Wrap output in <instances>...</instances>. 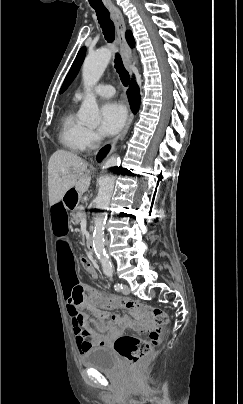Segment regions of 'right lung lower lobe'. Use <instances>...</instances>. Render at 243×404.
<instances>
[{"label": "right lung lower lobe", "instance_id": "98d812e1", "mask_svg": "<svg viewBox=\"0 0 243 404\" xmlns=\"http://www.w3.org/2000/svg\"><path fill=\"white\" fill-rule=\"evenodd\" d=\"M127 95L129 98V102L131 105V109L134 113H136L139 109V105H140V93H139V88L136 85V83L132 80L131 81V86L129 88V90L127 91ZM109 150V146L104 147L103 149H101V151L99 152L98 156H97V160L100 161L105 154L108 152Z\"/></svg>", "mask_w": 243, "mask_h": 404}]
</instances>
